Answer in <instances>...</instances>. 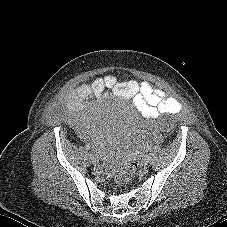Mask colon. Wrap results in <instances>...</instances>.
Listing matches in <instances>:
<instances>
[{"mask_svg": "<svg viewBox=\"0 0 227 227\" xmlns=\"http://www.w3.org/2000/svg\"><path fill=\"white\" fill-rule=\"evenodd\" d=\"M175 124V116L167 114L162 117L158 122V127L162 131H170ZM138 165L134 160H128L121 163L117 168H111L109 171L112 173L113 180L117 186L125 187L134 178Z\"/></svg>", "mask_w": 227, "mask_h": 227, "instance_id": "obj_1", "label": "colon"}]
</instances>
